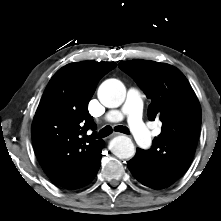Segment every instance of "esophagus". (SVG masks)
Returning a JSON list of instances; mask_svg holds the SVG:
<instances>
[{
	"label": "esophagus",
	"instance_id": "esophagus-1",
	"mask_svg": "<svg viewBox=\"0 0 221 221\" xmlns=\"http://www.w3.org/2000/svg\"><path fill=\"white\" fill-rule=\"evenodd\" d=\"M115 135H122L121 133H115Z\"/></svg>",
	"mask_w": 221,
	"mask_h": 221
}]
</instances>
